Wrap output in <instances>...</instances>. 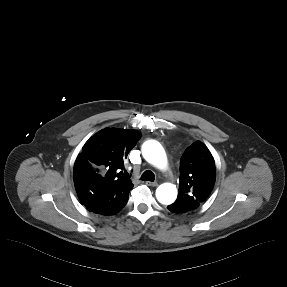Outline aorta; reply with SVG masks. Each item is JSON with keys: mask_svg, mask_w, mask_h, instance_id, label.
Returning <instances> with one entry per match:
<instances>
[{"mask_svg": "<svg viewBox=\"0 0 287 287\" xmlns=\"http://www.w3.org/2000/svg\"><path fill=\"white\" fill-rule=\"evenodd\" d=\"M145 160L159 169L167 167V156L162 145L156 140H148L142 146ZM157 200L164 205L172 204L177 198L176 186L163 183L156 189Z\"/></svg>", "mask_w": 287, "mask_h": 287, "instance_id": "aorta-1", "label": "aorta"}]
</instances>
